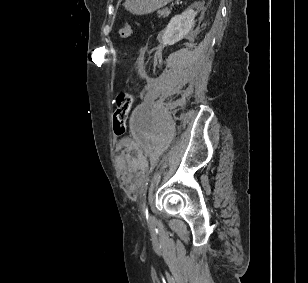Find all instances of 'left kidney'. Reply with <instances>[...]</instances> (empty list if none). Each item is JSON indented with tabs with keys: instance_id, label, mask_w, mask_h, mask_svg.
Returning <instances> with one entry per match:
<instances>
[{
	"instance_id": "5707ae66",
	"label": "left kidney",
	"mask_w": 308,
	"mask_h": 283,
	"mask_svg": "<svg viewBox=\"0 0 308 283\" xmlns=\"http://www.w3.org/2000/svg\"><path fill=\"white\" fill-rule=\"evenodd\" d=\"M202 3H194L181 15L174 16L163 32L161 42L173 45L183 39L194 27L195 17L201 10Z\"/></svg>"
}]
</instances>
